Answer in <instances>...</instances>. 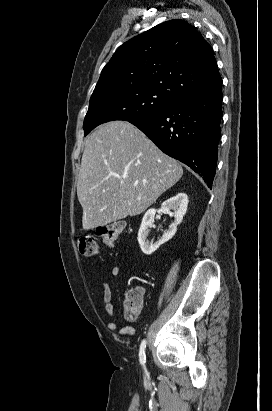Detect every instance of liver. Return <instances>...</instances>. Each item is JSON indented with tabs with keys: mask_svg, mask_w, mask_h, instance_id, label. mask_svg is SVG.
Wrapping results in <instances>:
<instances>
[{
	"mask_svg": "<svg viewBox=\"0 0 272 411\" xmlns=\"http://www.w3.org/2000/svg\"><path fill=\"white\" fill-rule=\"evenodd\" d=\"M182 174L181 164L131 123L100 126L85 142L77 181L83 229L141 214Z\"/></svg>",
	"mask_w": 272,
	"mask_h": 411,
	"instance_id": "obj_1",
	"label": "liver"
}]
</instances>
